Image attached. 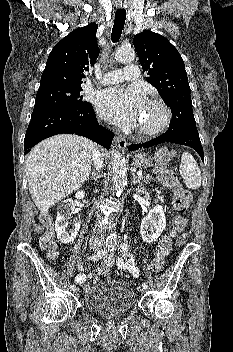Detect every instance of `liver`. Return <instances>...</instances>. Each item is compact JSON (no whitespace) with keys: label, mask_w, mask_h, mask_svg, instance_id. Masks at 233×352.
Returning a JSON list of instances; mask_svg holds the SVG:
<instances>
[{"label":"liver","mask_w":233,"mask_h":352,"mask_svg":"<svg viewBox=\"0 0 233 352\" xmlns=\"http://www.w3.org/2000/svg\"><path fill=\"white\" fill-rule=\"evenodd\" d=\"M96 147L84 137L61 134L45 139L30 151L25 172L41 216L82 187L90 175Z\"/></svg>","instance_id":"6515ba94"}]
</instances>
